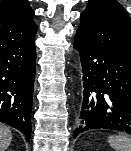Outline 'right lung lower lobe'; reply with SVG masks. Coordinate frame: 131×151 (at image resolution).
Returning a JSON list of instances; mask_svg holds the SVG:
<instances>
[{
  "label": "right lung lower lobe",
  "instance_id": "1",
  "mask_svg": "<svg viewBox=\"0 0 131 151\" xmlns=\"http://www.w3.org/2000/svg\"><path fill=\"white\" fill-rule=\"evenodd\" d=\"M36 32L0 39V122L24 133L28 142L36 73Z\"/></svg>",
  "mask_w": 131,
  "mask_h": 151
}]
</instances>
